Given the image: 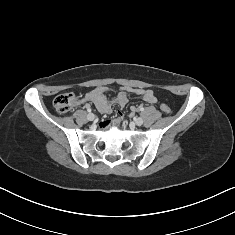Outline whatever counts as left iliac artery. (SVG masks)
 <instances>
[{"label": "left iliac artery", "instance_id": "left-iliac-artery-1", "mask_svg": "<svg viewBox=\"0 0 235 235\" xmlns=\"http://www.w3.org/2000/svg\"><path fill=\"white\" fill-rule=\"evenodd\" d=\"M144 108L142 106L139 107V111H143Z\"/></svg>", "mask_w": 235, "mask_h": 235}]
</instances>
